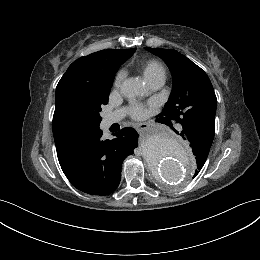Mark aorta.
I'll list each match as a JSON object with an SVG mask.
<instances>
[{"mask_svg":"<svg viewBox=\"0 0 260 260\" xmlns=\"http://www.w3.org/2000/svg\"><path fill=\"white\" fill-rule=\"evenodd\" d=\"M143 92L144 85L136 78H129L121 85V93L128 98ZM142 153L153 176L163 183L176 184L193 172L188 151L168 131L148 135L142 143Z\"/></svg>","mask_w":260,"mask_h":260,"instance_id":"762f6f07","label":"aorta"}]
</instances>
